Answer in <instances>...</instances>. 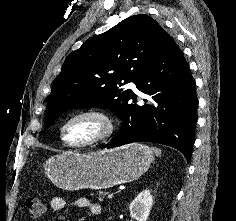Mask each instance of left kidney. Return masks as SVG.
I'll use <instances>...</instances> for the list:
<instances>
[{"label": "left kidney", "mask_w": 236, "mask_h": 221, "mask_svg": "<svg viewBox=\"0 0 236 221\" xmlns=\"http://www.w3.org/2000/svg\"><path fill=\"white\" fill-rule=\"evenodd\" d=\"M153 205L150 190H143L130 204V215L137 221H147Z\"/></svg>", "instance_id": "left-kidney-1"}]
</instances>
